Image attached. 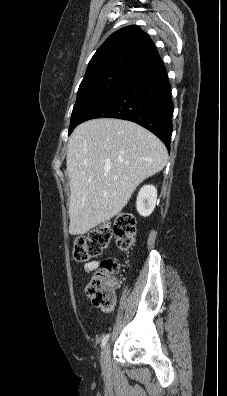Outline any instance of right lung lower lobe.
<instances>
[{"label": "right lung lower lobe", "mask_w": 227, "mask_h": 396, "mask_svg": "<svg viewBox=\"0 0 227 396\" xmlns=\"http://www.w3.org/2000/svg\"><path fill=\"white\" fill-rule=\"evenodd\" d=\"M173 109L168 75L157 54L133 70L82 122L95 118L129 120L154 133L170 150Z\"/></svg>", "instance_id": "obj_1"}]
</instances>
